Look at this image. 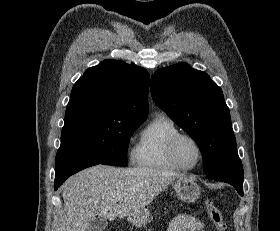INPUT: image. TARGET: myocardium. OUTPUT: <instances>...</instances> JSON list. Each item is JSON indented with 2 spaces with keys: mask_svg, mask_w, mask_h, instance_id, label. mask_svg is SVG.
Instances as JSON below:
<instances>
[{
  "mask_svg": "<svg viewBox=\"0 0 280 231\" xmlns=\"http://www.w3.org/2000/svg\"><path fill=\"white\" fill-rule=\"evenodd\" d=\"M183 137H188V138L192 139L198 146L200 158H199L198 164L194 168H186V167L182 166L176 158L175 149H176L178 141ZM167 155H168V158L171 161V163H173L179 170L185 171V172L197 171L203 165L204 160H205V150H204L202 142L196 136H194L193 134L188 133V132H178L170 139V141L168 143V147H167Z\"/></svg>",
  "mask_w": 280,
  "mask_h": 231,
  "instance_id": "myocardium-1",
  "label": "myocardium"
}]
</instances>
